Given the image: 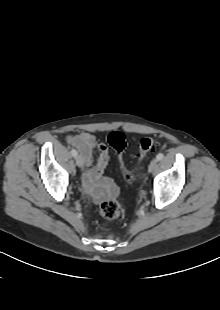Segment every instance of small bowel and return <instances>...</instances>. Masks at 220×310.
Segmentation results:
<instances>
[{
    "mask_svg": "<svg viewBox=\"0 0 220 310\" xmlns=\"http://www.w3.org/2000/svg\"><path fill=\"white\" fill-rule=\"evenodd\" d=\"M69 145L76 147L83 159L82 184L85 193L94 201H101L116 189L114 182L103 176L109 160L107 147L95 135L87 132L70 134L66 137ZM97 158L94 160V154Z\"/></svg>",
    "mask_w": 220,
    "mask_h": 310,
    "instance_id": "small-bowel-1",
    "label": "small bowel"
}]
</instances>
